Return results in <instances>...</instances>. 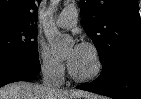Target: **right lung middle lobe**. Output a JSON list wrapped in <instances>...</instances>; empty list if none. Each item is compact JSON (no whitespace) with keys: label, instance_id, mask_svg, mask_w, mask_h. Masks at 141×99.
I'll use <instances>...</instances> for the list:
<instances>
[{"label":"right lung middle lobe","instance_id":"dd1d6c3e","mask_svg":"<svg viewBox=\"0 0 141 99\" xmlns=\"http://www.w3.org/2000/svg\"><path fill=\"white\" fill-rule=\"evenodd\" d=\"M37 26L0 24V59L38 60Z\"/></svg>","mask_w":141,"mask_h":99}]
</instances>
